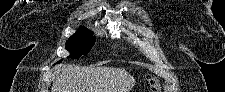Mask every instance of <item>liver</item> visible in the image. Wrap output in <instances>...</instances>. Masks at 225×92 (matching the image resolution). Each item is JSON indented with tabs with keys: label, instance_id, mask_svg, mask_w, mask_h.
<instances>
[{
	"label": "liver",
	"instance_id": "liver-1",
	"mask_svg": "<svg viewBox=\"0 0 225 92\" xmlns=\"http://www.w3.org/2000/svg\"><path fill=\"white\" fill-rule=\"evenodd\" d=\"M51 92H129L135 78L125 69L58 65Z\"/></svg>",
	"mask_w": 225,
	"mask_h": 92
}]
</instances>
